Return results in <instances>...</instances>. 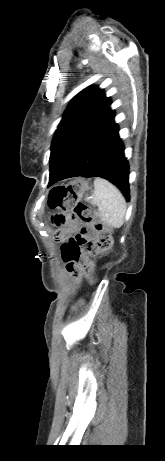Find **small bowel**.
<instances>
[{
	"label": "small bowel",
	"mask_w": 165,
	"mask_h": 461,
	"mask_svg": "<svg viewBox=\"0 0 165 461\" xmlns=\"http://www.w3.org/2000/svg\"><path fill=\"white\" fill-rule=\"evenodd\" d=\"M93 225H77L76 221L68 225V229H58L52 233V240L59 242L61 264L64 266L66 278H81V266H86L85 258L88 242L92 240Z\"/></svg>",
	"instance_id": "obj_1"
}]
</instances>
